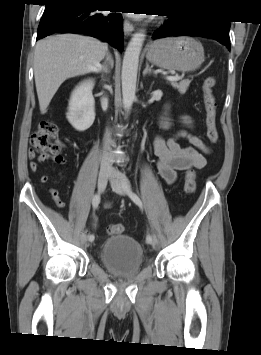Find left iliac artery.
<instances>
[{
  "label": "left iliac artery",
  "instance_id": "1",
  "mask_svg": "<svg viewBox=\"0 0 261 355\" xmlns=\"http://www.w3.org/2000/svg\"><path fill=\"white\" fill-rule=\"evenodd\" d=\"M124 186H125V189H126L128 195H129V197L131 198V200L135 204H137L140 208H143V204H142L140 198L134 192H132L127 185H124ZM153 238L154 237H152L151 235L148 234L146 236V242L150 244L153 241Z\"/></svg>",
  "mask_w": 261,
  "mask_h": 355
}]
</instances>
